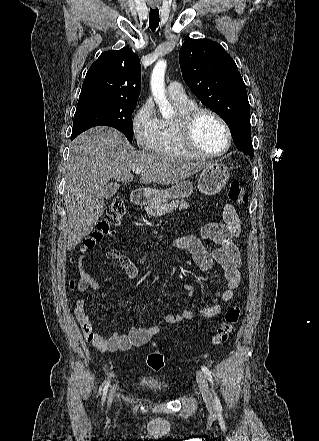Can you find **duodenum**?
Here are the masks:
<instances>
[{"label":"duodenum","instance_id":"duodenum-1","mask_svg":"<svg viewBox=\"0 0 319 441\" xmlns=\"http://www.w3.org/2000/svg\"><path fill=\"white\" fill-rule=\"evenodd\" d=\"M148 199V194L143 190H136L130 195V203L132 205H141Z\"/></svg>","mask_w":319,"mask_h":441}]
</instances>
